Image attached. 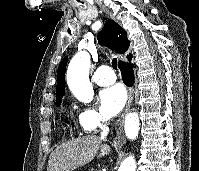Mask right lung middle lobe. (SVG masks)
I'll return each instance as SVG.
<instances>
[{
  "instance_id": "dd1d6c3e",
  "label": "right lung middle lobe",
  "mask_w": 199,
  "mask_h": 171,
  "mask_svg": "<svg viewBox=\"0 0 199 171\" xmlns=\"http://www.w3.org/2000/svg\"><path fill=\"white\" fill-rule=\"evenodd\" d=\"M62 99L56 100V106H59L61 104Z\"/></svg>"
}]
</instances>
